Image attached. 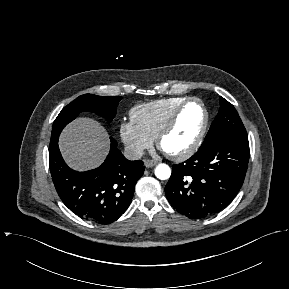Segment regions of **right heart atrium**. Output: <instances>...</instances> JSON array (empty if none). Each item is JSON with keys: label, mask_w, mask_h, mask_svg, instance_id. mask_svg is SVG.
Masks as SVG:
<instances>
[{"label": "right heart atrium", "mask_w": 289, "mask_h": 289, "mask_svg": "<svg viewBox=\"0 0 289 289\" xmlns=\"http://www.w3.org/2000/svg\"><path fill=\"white\" fill-rule=\"evenodd\" d=\"M119 135L128 152L135 157L141 156L153 144V138L132 120L120 124Z\"/></svg>", "instance_id": "1"}]
</instances>
